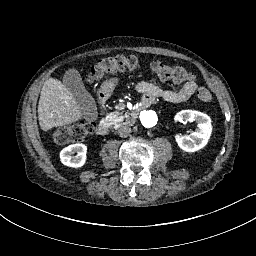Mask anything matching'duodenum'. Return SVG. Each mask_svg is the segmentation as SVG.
I'll return each instance as SVG.
<instances>
[{
    "label": "duodenum",
    "instance_id": "410a0bca",
    "mask_svg": "<svg viewBox=\"0 0 256 256\" xmlns=\"http://www.w3.org/2000/svg\"><path fill=\"white\" fill-rule=\"evenodd\" d=\"M115 88H116L115 83L112 80H109V79L105 80L102 83V86H100L97 89V92H96L97 96L103 100L107 99L110 96V94H112L115 91ZM148 105H149L148 100L146 99L140 100L139 102L133 105L132 107L133 114L135 115L140 114V112L144 110V108L148 107ZM104 114H105V106L102 105L101 116L103 118H104ZM109 129L110 127L107 124V122L104 119H102V121L97 125L96 133L100 136H106L109 133Z\"/></svg>",
    "mask_w": 256,
    "mask_h": 256
}]
</instances>
